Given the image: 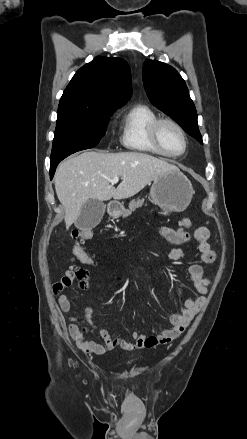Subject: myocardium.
I'll list each match as a JSON object with an SVG mask.
<instances>
[{
	"mask_svg": "<svg viewBox=\"0 0 247 439\" xmlns=\"http://www.w3.org/2000/svg\"><path fill=\"white\" fill-rule=\"evenodd\" d=\"M164 124H169L171 126H173L181 135L183 142H184V147L183 150L177 154H172L167 152L160 141V137H159V133H160V128L162 125ZM150 138L151 141L153 143V145L156 147V149L164 156L170 157V158H177L182 156L188 148V138L187 135L184 131V129L181 127V125L176 122L175 120L171 119V118H158L151 126V130H150Z\"/></svg>",
	"mask_w": 247,
	"mask_h": 439,
	"instance_id": "f54148a6",
	"label": "myocardium"
}]
</instances>
